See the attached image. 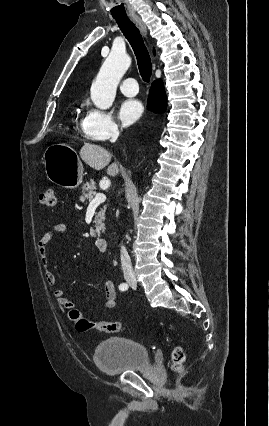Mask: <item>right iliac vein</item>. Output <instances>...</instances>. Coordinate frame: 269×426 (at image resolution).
<instances>
[{
  "label": "right iliac vein",
  "instance_id": "right-iliac-vein-1",
  "mask_svg": "<svg viewBox=\"0 0 269 426\" xmlns=\"http://www.w3.org/2000/svg\"><path fill=\"white\" fill-rule=\"evenodd\" d=\"M127 280H128V282H129V284H131V285H134V284H135V280H134V279H132V278H128Z\"/></svg>",
  "mask_w": 269,
  "mask_h": 426
}]
</instances>
